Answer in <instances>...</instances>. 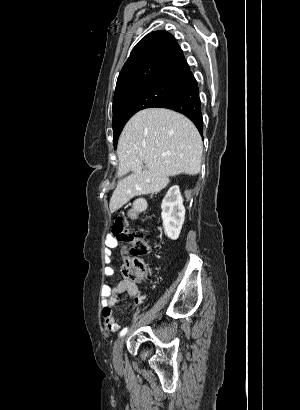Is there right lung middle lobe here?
<instances>
[{
    "label": "right lung middle lobe",
    "mask_w": 300,
    "mask_h": 410,
    "mask_svg": "<svg viewBox=\"0 0 300 410\" xmlns=\"http://www.w3.org/2000/svg\"><path fill=\"white\" fill-rule=\"evenodd\" d=\"M185 82H159L132 86L123 90L113 101V136L116 148L118 137L126 122L138 111L161 107L178 96L187 86Z\"/></svg>",
    "instance_id": "obj_1"
}]
</instances>
